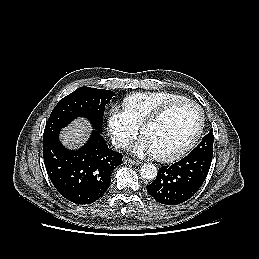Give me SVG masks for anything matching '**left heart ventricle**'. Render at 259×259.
<instances>
[{
  "label": "left heart ventricle",
  "mask_w": 259,
  "mask_h": 259,
  "mask_svg": "<svg viewBox=\"0 0 259 259\" xmlns=\"http://www.w3.org/2000/svg\"><path fill=\"white\" fill-rule=\"evenodd\" d=\"M198 124V111L190 105H180L148 126L143 137L151 145L154 154H166L185 144L195 133Z\"/></svg>",
  "instance_id": "left-heart-ventricle-1"
}]
</instances>
